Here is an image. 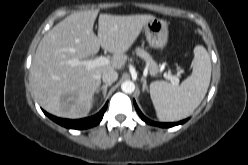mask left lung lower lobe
<instances>
[{"label":"left lung lower lobe","mask_w":248,"mask_h":165,"mask_svg":"<svg viewBox=\"0 0 248 165\" xmlns=\"http://www.w3.org/2000/svg\"><path fill=\"white\" fill-rule=\"evenodd\" d=\"M134 105H135V108L138 112V114L140 115V117L142 118V120H144L146 123L148 124H151V125H155V126H159V127H173L175 125H179V124H183L184 122H186V120H183V121H180V122H177V123H157V122H153L149 119H147L142 113L141 111L139 110L136 102L134 101Z\"/></svg>","instance_id":"left-lung-lower-lobe-1"}]
</instances>
